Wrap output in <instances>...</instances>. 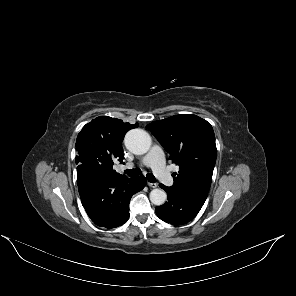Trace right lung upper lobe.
<instances>
[{"mask_svg":"<svg viewBox=\"0 0 296 296\" xmlns=\"http://www.w3.org/2000/svg\"><path fill=\"white\" fill-rule=\"evenodd\" d=\"M138 127V123H124L122 120L100 116L86 124L78 134L76 141V164L83 165L82 158L87 153L97 157L98 177L117 179L126 177L112 169L115 161L124 158L122 140L127 131Z\"/></svg>","mask_w":296,"mask_h":296,"instance_id":"right-lung-upper-lobe-1","label":"right lung upper lobe"}]
</instances>
